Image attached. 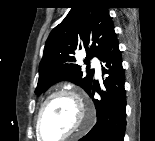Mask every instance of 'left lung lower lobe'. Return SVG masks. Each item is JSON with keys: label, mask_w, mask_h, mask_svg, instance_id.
Here are the masks:
<instances>
[{"label": "left lung lower lobe", "mask_w": 155, "mask_h": 141, "mask_svg": "<svg viewBox=\"0 0 155 141\" xmlns=\"http://www.w3.org/2000/svg\"><path fill=\"white\" fill-rule=\"evenodd\" d=\"M118 45L115 34L99 58L104 63L102 74L108 75L103 81L105 90L101 92L95 84L91 87L93 92L96 89L101 94V100L93 99L97 110V122L80 141H124L126 129L125 73ZM91 89L88 95L92 98ZM112 99L113 101L119 100L116 110L112 108Z\"/></svg>", "instance_id": "obj_1"}]
</instances>
